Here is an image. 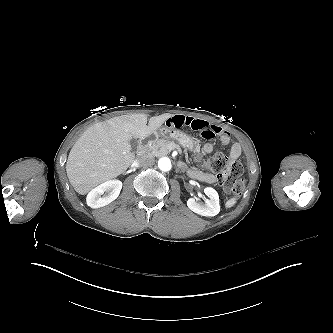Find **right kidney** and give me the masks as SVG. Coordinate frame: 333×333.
Returning <instances> with one entry per match:
<instances>
[{
  "instance_id": "ca27d5eb",
  "label": "right kidney",
  "mask_w": 333,
  "mask_h": 333,
  "mask_svg": "<svg viewBox=\"0 0 333 333\" xmlns=\"http://www.w3.org/2000/svg\"><path fill=\"white\" fill-rule=\"evenodd\" d=\"M121 189L122 182L118 180L107 181L88 194L87 204L94 209L107 206L118 198Z\"/></svg>"
}]
</instances>
